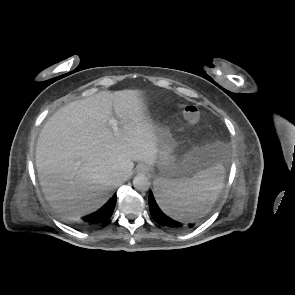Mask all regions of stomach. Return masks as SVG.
Returning a JSON list of instances; mask_svg holds the SVG:
<instances>
[{"mask_svg":"<svg viewBox=\"0 0 295 295\" xmlns=\"http://www.w3.org/2000/svg\"><path fill=\"white\" fill-rule=\"evenodd\" d=\"M154 127L159 140L156 166L162 178L183 179L213 167V161L201 162L193 166L202 158V151L194 148L181 155L179 143L170 129L160 124H154Z\"/></svg>","mask_w":295,"mask_h":295,"instance_id":"obj_1","label":"stomach"}]
</instances>
